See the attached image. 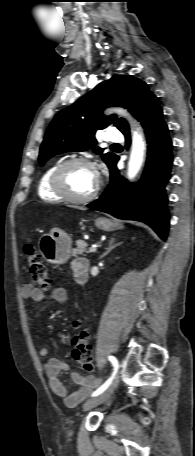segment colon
Wrapping results in <instances>:
<instances>
[{
    "label": "colon",
    "instance_id": "5ec220e1",
    "mask_svg": "<svg viewBox=\"0 0 195 456\" xmlns=\"http://www.w3.org/2000/svg\"><path fill=\"white\" fill-rule=\"evenodd\" d=\"M24 251L32 278V284L42 291L49 290L51 279L41 255L30 244H27L24 247ZM72 327L77 330V333L72 338L74 347L72 356L85 371H92L94 369V364L90 335L78 320L72 322Z\"/></svg>",
    "mask_w": 195,
    "mask_h": 456
}]
</instances>
